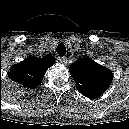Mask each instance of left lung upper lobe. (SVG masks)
<instances>
[{
    "instance_id": "obj_1",
    "label": "left lung upper lobe",
    "mask_w": 129,
    "mask_h": 129,
    "mask_svg": "<svg viewBox=\"0 0 129 129\" xmlns=\"http://www.w3.org/2000/svg\"><path fill=\"white\" fill-rule=\"evenodd\" d=\"M76 67V81L81 83L80 90L85 94L97 95L103 92L111 82V74L108 70L88 59L80 60Z\"/></svg>"
}]
</instances>
